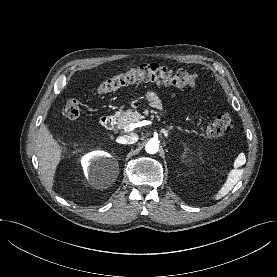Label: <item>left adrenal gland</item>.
<instances>
[{
	"instance_id": "1",
	"label": "left adrenal gland",
	"mask_w": 277,
	"mask_h": 277,
	"mask_svg": "<svg viewBox=\"0 0 277 277\" xmlns=\"http://www.w3.org/2000/svg\"><path fill=\"white\" fill-rule=\"evenodd\" d=\"M171 129H172V127H171V126H170V127H168V129H167V130L162 129V130H161V133H163V134H164V136H165L166 138H168V132H169Z\"/></svg>"
}]
</instances>
